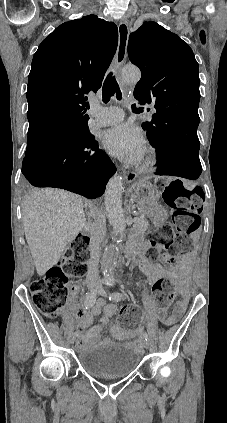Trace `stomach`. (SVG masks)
<instances>
[{
  "instance_id": "0dacf381",
  "label": "stomach",
  "mask_w": 227,
  "mask_h": 423,
  "mask_svg": "<svg viewBox=\"0 0 227 423\" xmlns=\"http://www.w3.org/2000/svg\"><path fill=\"white\" fill-rule=\"evenodd\" d=\"M131 198L135 200L140 211L148 213L151 208L157 206V202L160 198V194L151 182L148 180H138L136 184H133L129 190Z\"/></svg>"
}]
</instances>
